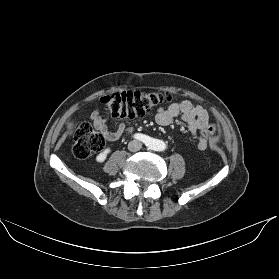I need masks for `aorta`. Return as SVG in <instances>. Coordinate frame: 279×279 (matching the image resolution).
<instances>
[{
	"label": "aorta",
	"mask_w": 279,
	"mask_h": 279,
	"mask_svg": "<svg viewBox=\"0 0 279 279\" xmlns=\"http://www.w3.org/2000/svg\"><path fill=\"white\" fill-rule=\"evenodd\" d=\"M153 149L156 151H163L166 149V144L164 141L156 139L153 141Z\"/></svg>",
	"instance_id": "1"
}]
</instances>
